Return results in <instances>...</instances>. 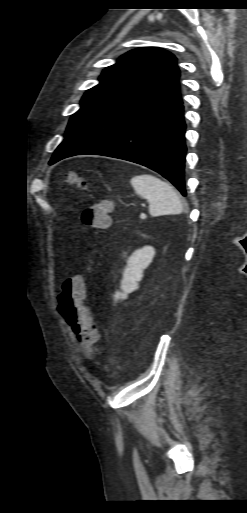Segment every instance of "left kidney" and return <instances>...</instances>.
<instances>
[{
	"label": "left kidney",
	"instance_id": "obj_1",
	"mask_svg": "<svg viewBox=\"0 0 247 513\" xmlns=\"http://www.w3.org/2000/svg\"><path fill=\"white\" fill-rule=\"evenodd\" d=\"M155 256V249L152 246H144L135 250L127 260L121 280V290L114 295L116 299H127L128 294L138 289V282L143 277V271L152 262Z\"/></svg>",
	"mask_w": 247,
	"mask_h": 513
}]
</instances>
